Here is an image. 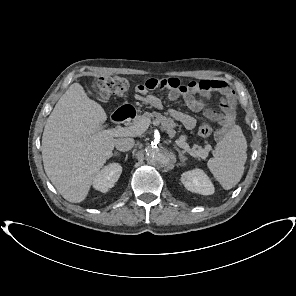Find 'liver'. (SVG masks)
<instances>
[{
    "label": "liver",
    "instance_id": "obj_1",
    "mask_svg": "<svg viewBox=\"0 0 296 296\" xmlns=\"http://www.w3.org/2000/svg\"><path fill=\"white\" fill-rule=\"evenodd\" d=\"M107 115L79 83H73L56 103L42 136L45 172L69 202L85 200L91 184L112 156L117 141L99 134Z\"/></svg>",
    "mask_w": 296,
    "mask_h": 296
}]
</instances>
